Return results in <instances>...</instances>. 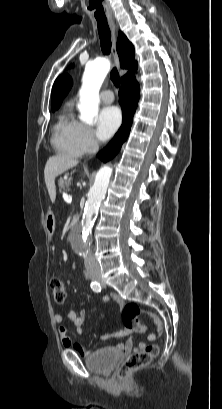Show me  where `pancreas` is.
<instances>
[{"label":"pancreas","instance_id":"1","mask_svg":"<svg viewBox=\"0 0 222 409\" xmlns=\"http://www.w3.org/2000/svg\"><path fill=\"white\" fill-rule=\"evenodd\" d=\"M71 178H69V179H60V181H59V187H60V189H68V187L71 185Z\"/></svg>","mask_w":222,"mask_h":409}]
</instances>
